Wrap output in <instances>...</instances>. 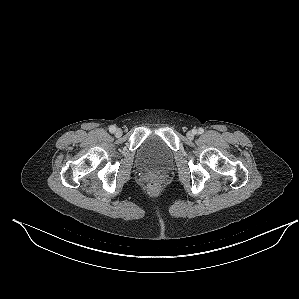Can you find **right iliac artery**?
Returning <instances> with one entry per match:
<instances>
[{"label": "right iliac artery", "instance_id": "82829eb1", "mask_svg": "<svg viewBox=\"0 0 299 299\" xmlns=\"http://www.w3.org/2000/svg\"><path fill=\"white\" fill-rule=\"evenodd\" d=\"M109 131H110L111 133H114V132L116 131V127H115L114 125H111V126L109 127Z\"/></svg>", "mask_w": 299, "mask_h": 299}]
</instances>
